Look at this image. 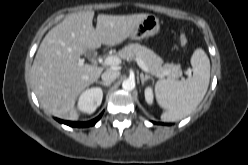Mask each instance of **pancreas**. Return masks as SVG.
I'll list each match as a JSON object with an SVG mask.
<instances>
[{"label":"pancreas","mask_w":248,"mask_h":165,"mask_svg":"<svg viewBox=\"0 0 248 165\" xmlns=\"http://www.w3.org/2000/svg\"><path fill=\"white\" fill-rule=\"evenodd\" d=\"M134 56L141 58L149 72L158 78L167 77V79L174 80L182 76L180 64H163V60L152 50L138 43L126 45L118 52V57L122 59L130 60Z\"/></svg>","instance_id":"pancreas-1"}]
</instances>
